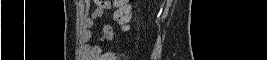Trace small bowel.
Listing matches in <instances>:
<instances>
[{"label": "small bowel", "instance_id": "small-bowel-1", "mask_svg": "<svg viewBox=\"0 0 267 60\" xmlns=\"http://www.w3.org/2000/svg\"><path fill=\"white\" fill-rule=\"evenodd\" d=\"M114 8V5L105 1L98 5V7L93 11L92 16L84 21L83 30L81 33V39L85 44V49L89 51L92 55L97 56L102 52L101 46L98 44H91V28L93 27L95 20L101 17L105 12L110 11ZM113 38V26L111 24H105L103 27V36L101 42L110 41Z\"/></svg>", "mask_w": 267, "mask_h": 60}]
</instances>
